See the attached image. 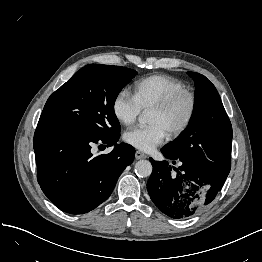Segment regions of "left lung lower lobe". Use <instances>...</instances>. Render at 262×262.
I'll return each instance as SVG.
<instances>
[{
	"label": "left lung lower lobe",
	"mask_w": 262,
	"mask_h": 262,
	"mask_svg": "<svg viewBox=\"0 0 262 262\" xmlns=\"http://www.w3.org/2000/svg\"><path fill=\"white\" fill-rule=\"evenodd\" d=\"M163 155L173 164L180 161L179 168H173L167 161H150L152 174L147 190L153 203L167 216L187 219L199 213L210 204L221 190L230 171V158L219 170L209 171L197 164L174 157L161 149Z\"/></svg>",
	"instance_id": "0a47b994"
}]
</instances>
